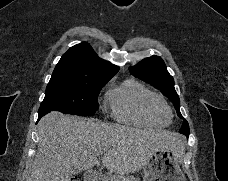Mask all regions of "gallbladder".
<instances>
[{
  "instance_id": "1",
  "label": "gallbladder",
  "mask_w": 228,
  "mask_h": 181,
  "mask_svg": "<svg viewBox=\"0 0 228 181\" xmlns=\"http://www.w3.org/2000/svg\"><path fill=\"white\" fill-rule=\"evenodd\" d=\"M72 171H73V175H76V173H78V169H74V167H72Z\"/></svg>"
}]
</instances>
